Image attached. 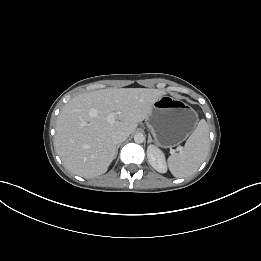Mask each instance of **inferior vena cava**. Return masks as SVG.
<instances>
[{
    "label": "inferior vena cava",
    "instance_id": "1",
    "mask_svg": "<svg viewBox=\"0 0 261 261\" xmlns=\"http://www.w3.org/2000/svg\"><path fill=\"white\" fill-rule=\"evenodd\" d=\"M129 134L126 132H116L112 135V140L116 145H119L128 138Z\"/></svg>",
    "mask_w": 261,
    "mask_h": 261
}]
</instances>
